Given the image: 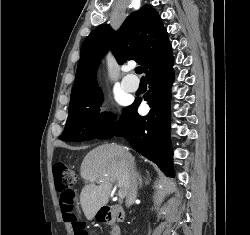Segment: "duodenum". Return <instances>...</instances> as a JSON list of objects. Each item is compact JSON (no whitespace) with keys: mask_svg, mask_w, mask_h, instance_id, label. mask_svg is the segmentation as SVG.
<instances>
[{"mask_svg":"<svg viewBox=\"0 0 250 235\" xmlns=\"http://www.w3.org/2000/svg\"><path fill=\"white\" fill-rule=\"evenodd\" d=\"M101 222L110 225L112 235H121L119 223L124 220L123 209L119 205H110L101 212Z\"/></svg>","mask_w":250,"mask_h":235,"instance_id":"410a0bca","label":"duodenum"}]
</instances>
